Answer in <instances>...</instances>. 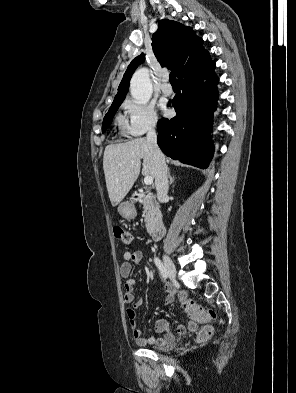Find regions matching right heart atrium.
I'll list each match as a JSON object with an SVG mask.
<instances>
[{"instance_id":"1","label":"right heart atrium","mask_w":296,"mask_h":393,"mask_svg":"<svg viewBox=\"0 0 296 393\" xmlns=\"http://www.w3.org/2000/svg\"><path fill=\"white\" fill-rule=\"evenodd\" d=\"M123 107L127 116L126 129L129 135L138 137L157 127L158 117L153 105L128 98Z\"/></svg>"}]
</instances>
